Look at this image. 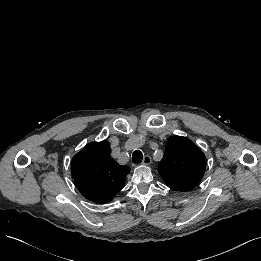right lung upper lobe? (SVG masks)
<instances>
[{"label":"right lung upper lobe","mask_w":261,"mask_h":261,"mask_svg":"<svg viewBox=\"0 0 261 261\" xmlns=\"http://www.w3.org/2000/svg\"><path fill=\"white\" fill-rule=\"evenodd\" d=\"M130 172L110 157V143L92 142L77 153L71 162V173L79 191L90 201L107 203L123 189Z\"/></svg>","instance_id":"obj_1"}]
</instances>
